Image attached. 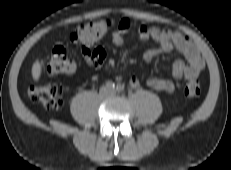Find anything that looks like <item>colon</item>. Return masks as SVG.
<instances>
[{"instance_id":"colon-1","label":"colon","mask_w":231,"mask_h":170,"mask_svg":"<svg viewBox=\"0 0 231 170\" xmlns=\"http://www.w3.org/2000/svg\"><path fill=\"white\" fill-rule=\"evenodd\" d=\"M112 23L108 19L90 21L78 26L71 33V41L79 44H90L102 38ZM75 69L74 61L67 54L63 46H56L52 50L47 70L52 75L72 73ZM201 92L200 84L190 80L184 87V95L187 97L198 96ZM29 98L48 109H60L64 105L63 88L57 83L44 85H31L28 89Z\"/></svg>"}]
</instances>
